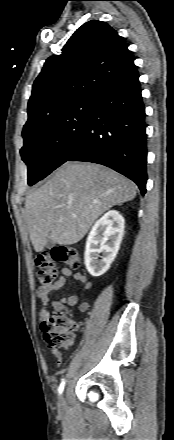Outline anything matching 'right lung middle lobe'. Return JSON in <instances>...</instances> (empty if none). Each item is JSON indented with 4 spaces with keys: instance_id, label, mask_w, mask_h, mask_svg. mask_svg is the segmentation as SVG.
Segmentation results:
<instances>
[{
    "instance_id": "right-lung-middle-lobe-1",
    "label": "right lung middle lobe",
    "mask_w": 174,
    "mask_h": 440,
    "mask_svg": "<svg viewBox=\"0 0 174 440\" xmlns=\"http://www.w3.org/2000/svg\"><path fill=\"white\" fill-rule=\"evenodd\" d=\"M92 106V95L86 96L23 130L20 153L30 186L66 161L87 129Z\"/></svg>"
}]
</instances>
